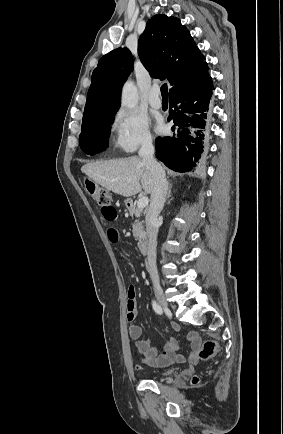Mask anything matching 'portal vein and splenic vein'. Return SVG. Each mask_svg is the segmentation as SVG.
I'll return each instance as SVG.
<instances>
[{
    "label": "portal vein and splenic vein",
    "instance_id": "18ae733b",
    "mask_svg": "<svg viewBox=\"0 0 283 434\" xmlns=\"http://www.w3.org/2000/svg\"><path fill=\"white\" fill-rule=\"evenodd\" d=\"M148 202H149L148 197L143 196L138 200L137 207L139 209H144L148 205Z\"/></svg>",
    "mask_w": 283,
    "mask_h": 434
}]
</instances>
